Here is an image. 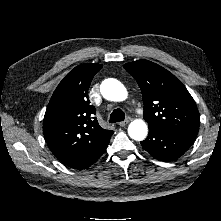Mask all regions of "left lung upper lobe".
<instances>
[{
	"label": "left lung upper lobe",
	"mask_w": 221,
	"mask_h": 221,
	"mask_svg": "<svg viewBox=\"0 0 221 221\" xmlns=\"http://www.w3.org/2000/svg\"><path fill=\"white\" fill-rule=\"evenodd\" d=\"M138 82L149 128L197 135L200 115L185 86L169 71L147 60L124 65Z\"/></svg>",
	"instance_id": "obj_1"
}]
</instances>
